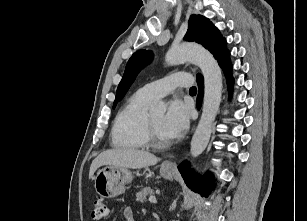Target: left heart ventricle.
I'll use <instances>...</instances> for the list:
<instances>
[{
  "mask_svg": "<svg viewBox=\"0 0 307 221\" xmlns=\"http://www.w3.org/2000/svg\"><path fill=\"white\" fill-rule=\"evenodd\" d=\"M164 117H165V115L162 112L151 114V118H152L153 124L156 128V131H157L159 138L161 140H168V138L165 135L164 130H163Z\"/></svg>",
  "mask_w": 307,
  "mask_h": 221,
  "instance_id": "1",
  "label": "left heart ventricle"
}]
</instances>
